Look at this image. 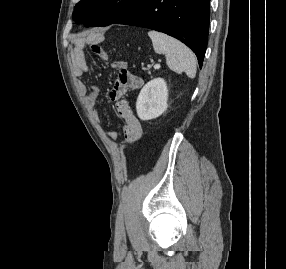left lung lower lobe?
Segmentation results:
<instances>
[{
  "label": "left lung lower lobe",
  "instance_id": "0a47b994",
  "mask_svg": "<svg viewBox=\"0 0 286 269\" xmlns=\"http://www.w3.org/2000/svg\"><path fill=\"white\" fill-rule=\"evenodd\" d=\"M210 0H144L115 23L139 26L173 36L196 54L199 66L205 56Z\"/></svg>",
  "mask_w": 286,
  "mask_h": 269
}]
</instances>
